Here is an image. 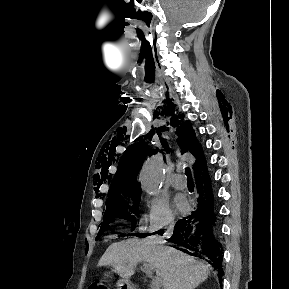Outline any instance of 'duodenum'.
Here are the masks:
<instances>
[{"label": "duodenum", "instance_id": "duodenum-1", "mask_svg": "<svg viewBox=\"0 0 289 289\" xmlns=\"http://www.w3.org/2000/svg\"><path fill=\"white\" fill-rule=\"evenodd\" d=\"M128 289H139V288H137L136 286L130 285V286L128 287Z\"/></svg>", "mask_w": 289, "mask_h": 289}]
</instances>
